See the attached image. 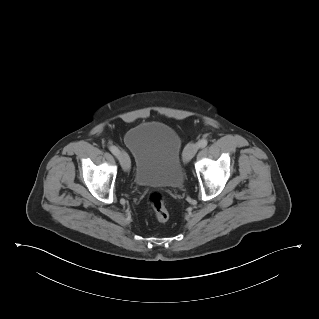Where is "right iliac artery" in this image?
I'll list each match as a JSON object with an SVG mask.
<instances>
[{"mask_svg": "<svg viewBox=\"0 0 319 319\" xmlns=\"http://www.w3.org/2000/svg\"><path fill=\"white\" fill-rule=\"evenodd\" d=\"M109 150L115 155V156H119V149L116 147V146H114V145H111L110 147H109Z\"/></svg>", "mask_w": 319, "mask_h": 319, "instance_id": "right-iliac-artery-1", "label": "right iliac artery"}]
</instances>
